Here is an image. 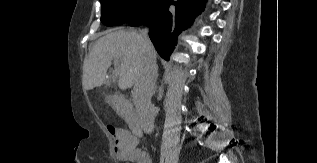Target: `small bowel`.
Returning <instances> with one entry per match:
<instances>
[{
    "instance_id": "obj_1",
    "label": "small bowel",
    "mask_w": 317,
    "mask_h": 163,
    "mask_svg": "<svg viewBox=\"0 0 317 163\" xmlns=\"http://www.w3.org/2000/svg\"><path fill=\"white\" fill-rule=\"evenodd\" d=\"M117 141L121 143V158L125 163H152L150 156L137 149L127 133L121 132Z\"/></svg>"
}]
</instances>
